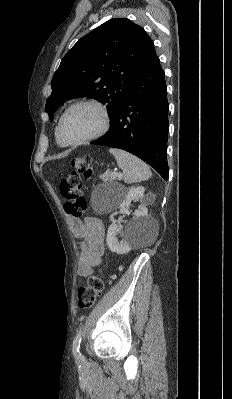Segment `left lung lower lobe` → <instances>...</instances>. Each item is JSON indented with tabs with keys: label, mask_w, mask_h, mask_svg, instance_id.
Returning <instances> with one entry per match:
<instances>
[{
	"label": "left lung lower lobe",
	"mask_w": 232,
	"mask_h": 399,
	"mask_svg": "<svg viewBox=\"0 0 232 399\" xmlns=\"http://www.w3.org/2000/svg\"><path fill=\"white\" fill-rule=\"evenodd\" d=\"M168 109L165 73L152 42L110 129L91 144L128 151L152 166L167 180Z\"/></svg>",
	"instance_id": "obj_1"
}]
</instances>
